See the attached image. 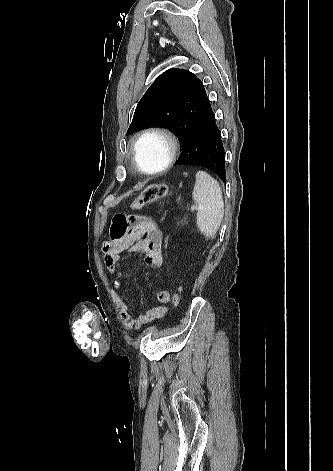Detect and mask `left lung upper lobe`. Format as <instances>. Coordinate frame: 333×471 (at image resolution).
<instances>
[{
  "label": "left lung upper lobe",
  "instance_id": "5c2ea615",
  "mask_svg": "<svg viewBox=\"0 0 333 471\" xmlns=\"http://www.w3.org/2000/svg\"><path fill=\"white\" fill-rule=\"evenodd\" d=\"M209 104L202 81L193 73L169 69L139 101L126 135L150 127H168L179 136L183 150Z\"/></svg>",
  "mask_w": 333,
  "mask_h": 471
}]
</instances>
